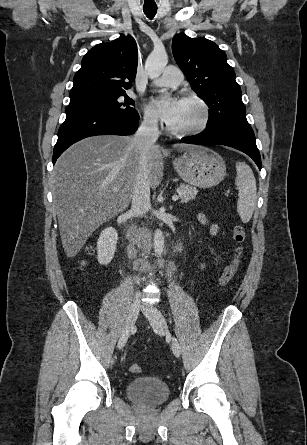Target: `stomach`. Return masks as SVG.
I'll return each mask as SVG.
<instances>
[{
	"label": "stomach",
	"mask_w": 307,
	"mask_h": 445,
	"mask_svg": "<svg viewBox=\"0 0 307 445\" xmlns=\"http://www.w3.org/2000/svg\"><path fill=\"white\" fill-rule=\"evenodd\" d=\"M175 170L190 186L210 188L223 180L225 162L215 150L207 146H192L173 162Z\"/></svg>",
	"instance_id": "stomach-1"
}]
</instances>
